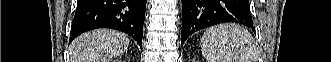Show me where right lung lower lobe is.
<instances>
[{"label": "right lung lower lobe", "mask_w": 331, "mask_h": 62, "mask_svg": "<svg viewBox=\"0 0 331 62\" xmlns=\"http://www.w3.org/2000/svg\"><path fill=\"white\" fill-rule=\"evenodd\" d=\"M147 0H78L69 43L83 32L111 28L132 36L142 48Z\"/></svg>", "instance_id": "right-lung-lower-lobe-1"}]
</instances>
